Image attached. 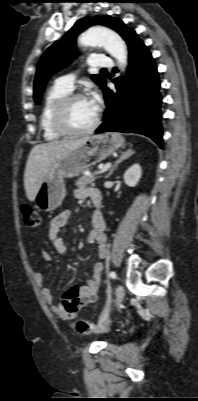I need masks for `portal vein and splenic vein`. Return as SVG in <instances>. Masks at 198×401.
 Masks as SVG:
<instances>
[{
    "mask_svg": "<svg viewBox=\"0 0 198 401\" xmlns=\"http://www.w3.org/2000/svg\"><path fill=\"white\" fill-rule=\"evenodd\" d=\"M110 167H111V163H107L104 167L101 168V170L98 172V174L106 172Z\"/></svg>",
    "mask_w": 198,
    "mask_h": 401,
    "instance_id": "1",
    "label": "portal vein and splenic vein"
}]
</instances>
